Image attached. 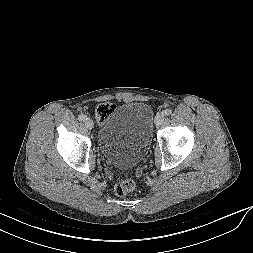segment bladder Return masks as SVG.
<instances>
[{
  "instance_id": "bladder-1",
  "label": "bladder",
  "mask_w": 253,
  "mask_h": 253,
  "mask_svg": "<svg viewBox=\"0 0 253 253\" xmlns=\"http://www.w3.org/2000/svg\"><path fill=\"white\" fill-rule=\"evenodd\" d=\"M154 113L145 102H125L101 125L99 150L107 163L132 168L146 156L153 133Z\"/></svg>"
}]
</instances>
